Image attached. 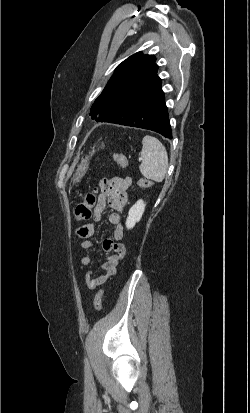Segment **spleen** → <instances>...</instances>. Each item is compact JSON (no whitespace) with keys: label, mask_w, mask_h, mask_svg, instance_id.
Instances as JSON below:
<instances>
[{"label":"spleen","mask_w":250,"mask_h":413,"mask_svg":"<svg viewBox=\"0 0 250 413\" xmlns=\"http://www.w3.org/2000/svg\"><path fill=\"white\" fill-rule=\"evenodd\" d=\"M139 166L141 174L155 182H162L168 169V155L163 144L155 137L146 135L142 140Z\"/></svg>","instance_id":"1"}]
</instances>
